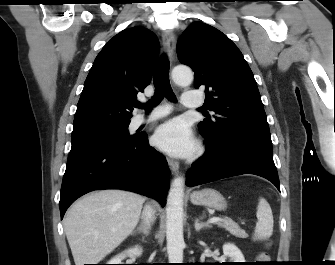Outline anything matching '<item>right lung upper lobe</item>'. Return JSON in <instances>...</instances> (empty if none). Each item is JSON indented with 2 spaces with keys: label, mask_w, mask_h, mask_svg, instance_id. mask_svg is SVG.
<instances>
[{
  "label": "right lung upper lobe",
  "mask_w": 335,
  "mask_h": 265,
  "mask_svg": "<svg viewBox=\"0 0 335 265\" xmlns=\"http://www.w3.org/2000/svg\"><path fill=\"white\" fill-rule=\"evenodd\" d=\"M158 51L155 34L141 26L125 29L110 39L85 80L73 127L130 122L137 93L151 82Z\"/></svg>",
  "instance_id": "obj_1"
}]
</instances>
